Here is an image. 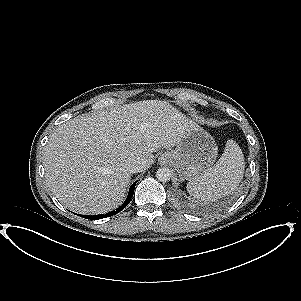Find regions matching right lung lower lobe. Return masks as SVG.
<instances>
[{"instance_id": "right-lung-lower-lobe-1", "label": "right lung lower lobe", "mask_w": 301, "mask_h": 301, "mask_svg": "<svg viewBox=\"0 0 301 301\" xmlns=\"http://www.w3.org/2000/svg\"><path fill=\"white\" fill-rule=\"evenodd\" d=\"M135 186H136V182L133 183V185L130 187L127 199L125 200V202L123 203V205L120 206L118 209H116V210H114L112 212L106 213V214L93 215V216L81 215V217H84V218H87V219H91V220H95V219H101V218L110 217V216H113V215L117 214L122 209H124L129 204V202L131 201V198H132L133 193H134Z\"/></svg>"}]
</instances>
